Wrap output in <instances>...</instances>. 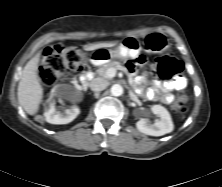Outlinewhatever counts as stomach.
Masks as SVG:
<instances>
[{"instance_id": "0dacf381", "label": "stomach", "mask_w": 222, "mask_h": 187, "mask_svg": "<svg viewBox=\"0 0 222 187\" xmlns=\"http://www.w3.org/2000/svg\"><path fill=\"white\" fill-rule=\"evenodd\" d=\"M170 47L166 34L162 32H151L141 41L136 37L128 36L123 39L114 49L101 48L94 52L93 62L105 63L111 59H130L136 57L145 48L147 52L159 54Z\"/></svg>"}]
</instances>
